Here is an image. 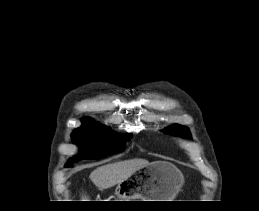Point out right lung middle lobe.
<instances>
[{
	"mask_svg": "<svg viewBox=\"0 0 259 211\" xmlns=\"http://www.w3.org/2000/svg\"><path fill=\"white\" fill-rule=\"evenodd\" d=\"M71 138L73 143L80 145L78 159H98L122 151L131 135L110 132L92 120L84 119L83 125L72 132Z\"/></svg>",
	"mask_w": 259,
	"mask_h": 211,
	"instance_id": "dd1d6c3e",
	"label": "right lung middle lobe"
}]
</instances>
